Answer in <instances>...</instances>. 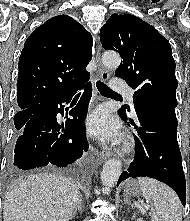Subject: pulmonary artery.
<instances>
[{
    "instance_id": "1",
    "label": "pulmonary artery",
    "mask_w": 190,
    "mask_h": 221,
    "mask_svg": "<svg viewBox=\"0 0 190 221\" xmlns=\"http://www.w3.org/2000/svg\"><path fill=\"white\" fill-rule=\"evenodd\" d=\"M110 85H111V88L113 90L124 92L127 96L128 101L133 106V94H134L133 90L125 87L124 84L122 83V81L120 79H117V78L113 79L111 81Z\"/></svg>"
}]
</instances>
